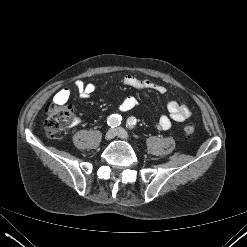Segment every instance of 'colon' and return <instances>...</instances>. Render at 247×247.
Wrapping results in <instances>:
<instances>
[{
    "label": "colon",
    "instance_id": "5ec220e1",
    "mask_svg": "<svg viewBox=\"0 0 247 247\" xmlns=\"http://www.w3.org/2000/svg\"><path fill=\"white\" fill-rule=\"evenodd\" d=\"M45 115L44 128L49 136L56 137L71 124L74 107L70 104L51 102L46 106ZM183 131L186 136H191L195 128L188 123L184 126Z\"/></svg>",
    "mask_w": 247,
    "mask_h": 247
}]
</instances>
